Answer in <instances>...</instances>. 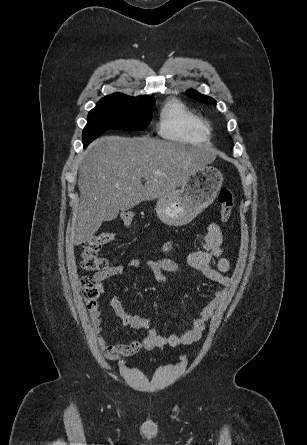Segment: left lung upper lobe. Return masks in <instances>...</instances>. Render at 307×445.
<instances>
[{
	"mask_svg": "<svg viewBox=\"0 0 307 445\" xmlns=\"http://www.w3.org/2000/svg\"><path fill=\"white\" fill-rule=\"evenodd\" d=\"M186 94H187L189 97H191V98H193V99H195V100H198V101H202V102H205V103H210V104L216 105V101H215L213 98L208 97V96H205V95H202V94L198 93L197 91H194V90H188V91L186 92Z\"/></svg>",
	"mask_w": 307,
	"mask_h": 445,
	"instance_id": "left-lung-upper-lobe-1",
	"label": "left lung upper lobe"
}]
</instances>
